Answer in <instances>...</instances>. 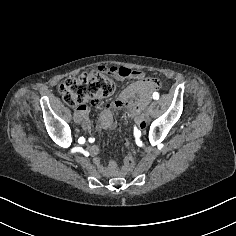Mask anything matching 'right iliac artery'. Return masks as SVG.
I'll return each mask as SVG.
<instances>
[{"label": "right iliac artery", "mask_w": 236, "mask_h": 236, "mask_svg": "<svg viewBox=\"0 0 236 236\" xmlns=\"http://www.w3.org/2000/svg\"><path fill=\"white\" fill-rule=\"evenodd\" d=\"M78 143H79V144H84V143H85L84 137H80V138L78 139Z\"/></svg>", "instance_id": "obj_1"}]
</instances>
